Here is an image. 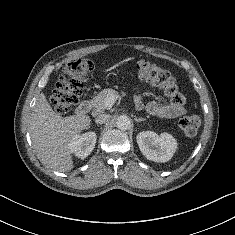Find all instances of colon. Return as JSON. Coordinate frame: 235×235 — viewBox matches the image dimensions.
I'll return each mask as SVG.
<instances>
[{
    "mask_svg": "<svg viewBox=\"0 0 235 235\" xmlns=\"http://www.w3.org/2000/svg\"><path fill=\"white\" fill-rule=\"evenodd\" d=\"M92 70L93 62L89 58H80L64 66V74L59 78L51 96L52 106L58 114L67 113L77 104L83 92L84 81ZM136 72L140 79L157 87L171 103L183 105L184 97L167 70L149 61L140 60L136 65ZM179 126L186 136H195L200 127V118L197 115L183 116Z\"/></svg>",
    "mask_w": 235,
    "mask_h": 235,
    "instance_id": "1",
    "label": "colon"
}]
</instances>
